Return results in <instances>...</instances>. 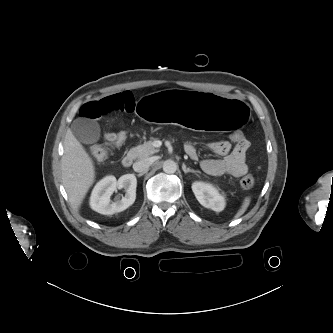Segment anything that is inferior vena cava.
I'll return each instance as SVG.
<instances>
[{
    "label": "inferior vena cava",
    "instance_id": "inferior-vena-cava-1",
    "mask_svg": "<svg viewBox=\"0 0 333 333\" xmlns=\"http://www.w3.org/2000/svg\"><path fill=\"white\" fill-rule=\"evenodd\" d=\"M152 164L151 159H142L133 164V170L135 172H143L145 169H147Z\"/></svg>",
    "mask_w": 333,
    "mask_h": 333
}]
</instances>
